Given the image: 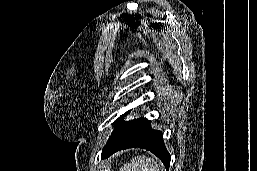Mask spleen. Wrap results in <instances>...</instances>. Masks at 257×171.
Returning a JSON list of instances; mask_svg holds the SVG:
<instances>
[{"instance_id":"spleen-1","label":"spleen","mask_w":257,"mask_h":171,"mask_svg":"<svg viewBox=\"0 0 257 171\" xmlns=\"http://www.w3.org/2000/svg\"><path fill=\"white\" fill-rule=\"evenodd\" d=\"M119 171H164L153 158L137 156L124 164Z\"/></svg>"}]
</instances>
